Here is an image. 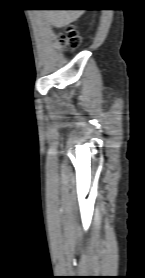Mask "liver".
<instances>
[{"label": "liver", "mask_w": 145, "mask_h": 278, "mask_svg": "<svg viewBox=\"0 0 145 278\" xmlns=\"http://www.w3.org/2000/svg\"><path fill=\"white\" fill-rule=\"evenodd\" d=\"M83 13V10H45L43 15L51 25L61 28L76 21Z\"/></svg>", "instance_id": "obj_1"}]
</instances>
